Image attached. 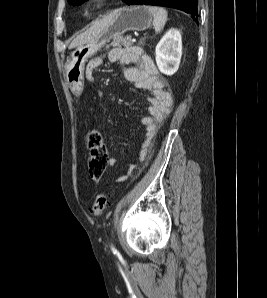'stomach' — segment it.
<instances>
[{"label":"stomach","instance_id":"0dacf381","mask_svg":"<svg viewBox=\"0 0 267 298\" xmlns=\"http://www.w3.org/2000/svg\"><path fill=\"white\" fill-rule=\"evenodd\" d=\"M108 27L89 42L78 46L70 53L65 65L66 81L75 95L83 91V76L86 61L112 38L126 31H144L151 26L152 14L145 6L123 7L112 12Z\"/></svg>","mask_w":267,"mask_h":298}]
</instances>
